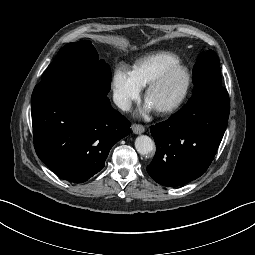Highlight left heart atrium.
<instances>
[{
    "instance_id": "obj_1",
    "label": "left heart atrium",
    "mask_w": 255,
    "mask_h": 255,
    "mask_svg": "<svg viewBox=\"0 0 255 255\" xmlns=\"http://www.w3.org/2000/svg\"><path fill=\"white\" fill-rule=\"evenodd\" d=\"M153 108L147 103L146 106H145V111L146 112H149L151 111Z\"/></svg>"
}]
</instances>
